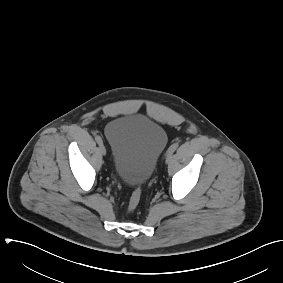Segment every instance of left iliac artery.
I'll use <instances>...</instances> for the list:
<instances>
[{
  "mask_svg": "<svg viewBox=\"0 0 283 283\" xmlns=\"http://www.w3.org/2000/svg\"><path fill=\"white\" fill-rule=\"evenodd\" d=\"M178 148V143L172 144L166 152V156L173 154V152Z\"/></svg>",
  "mask_w": 283,
  "mask_h": 283,
  "instance_id": "44dca946",
  "label": "left iliac artery"
}]
</instances>
